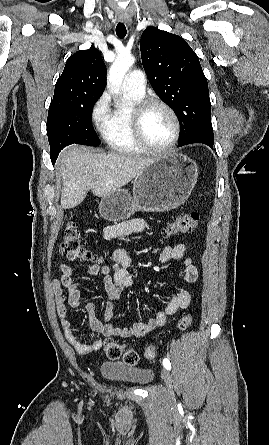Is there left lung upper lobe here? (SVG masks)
Masks as SVG:
<instances>
[{"label":"left lung upper lobe","mask_w":269,"mask_h":445,"mask_svg":"<svg viewBox=\"0 0 269 445\" xmlns=\"http://www.w3.org/2000/svg\"><path fill=\"white\" fill-rule=\"evenodd\" d=\"M140 47L152 88L178 117L179 145L213 142L208 84L196 53L182 37L155 27L146 28Z\"/></svg>","instance_id":"1"}]
</instances>
